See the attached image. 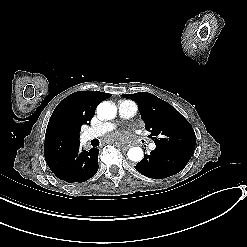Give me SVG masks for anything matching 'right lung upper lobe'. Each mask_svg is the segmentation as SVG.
<instances>
[{"instance_id":"right-lung-upper-lobe-1","label":"right lung upper lobe","mask_w":247,"mask_h":247,"mask_svg":"<svg viewBox=\"0 0 247 247\" xmlns=\"http://www.w3.org/2000/svg\"><path fill=\"white\" fill-rule=\"evenodd\" d=\"M110 94L99 91H78L63 99L54 109L47 125L44 155L59 144L79 142L81 126L88 124L97 105Z\"/></svg>"}]
</instances>
